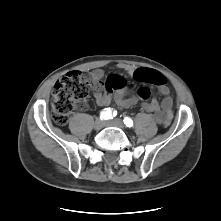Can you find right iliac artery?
<instances>
[{"label": "right iliac artery", "mask_w": 221, "mask_h": 221, "mask_svg": "<svg viewBox=\"0 0 221 221\" xmlns=\"http://www.w3.org/2000/svg\"><path fill=\"white\" fill-rule=\"evenodd\" d=\"M114 113H115V112H114ZM100 118H101L102 120L112 119V118H113L112 111H111L110 109H105L104 111L101 112Z\"/></svg>", "instance_id": "obj_1"}]
</instances>
